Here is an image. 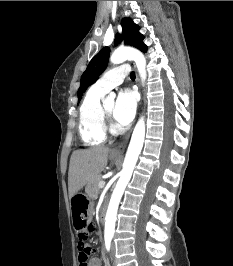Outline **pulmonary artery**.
<instances>
[{
	"mask_svg": "<svg viewBox=\"0 0 233 266\" xmlns=\"http://www.w3.org/2000/svg\"><path fill=\"white\" fill-rule=\"evenodd\" d=\"M129 74L128 65L114 67L103 74L94 84L98 89L109 92L111 89L120 85L124 78Z\"/></svg>",
	"mask_w": 233,
	"mask_h": 266,
	"instance_id": "e3ab8cb5",
	"label": "pulmonary artery"
}]
</instances>
